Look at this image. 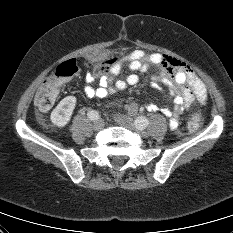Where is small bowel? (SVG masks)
Masks as SVG:
<instances>
[{"instance_id":"c3829d8e","label":"small bowel","mask_w":233,"mask_h":233,"mask_svg":"<svg viewBox=\"0 0 233 233\" xmlns=\"http://www.w3.org/2000/svg\"><path fill=\"white\" fill-rule=\"evenodd\" d=\"M123 62H127L132 71H146L150 67L155 68L156 75L153 80L169 89L167 95L173 101L174 106L173 108L168 106L159 108L155 104H148L146 109L148 111L160 109L164 115L170 117V126L173 129L177 128L178 117L183 111L192 110L196 102L204 104L207 100V90L204 83L189 65L168 55L146 53L140 49L132 51L121 61L116 62L108 75L100 77L97 86L93 85L94 74L89 73L86 76L85 96L89 99L103 98L137 84L139 77L136 74L114 80V76L121 72Z\"/></svg>"}]
</instances>
